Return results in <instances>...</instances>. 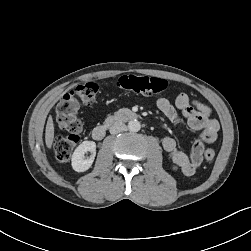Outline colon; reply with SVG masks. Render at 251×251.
I'll return each instance as SVG.
<instances>
[{"instance_id":"5ec220e1","label":"colon","mask_w":251,"mask_h":251,"mask_svg":"<svg viewBox=\"0 0 251 251\" xmlns=\"http://www.w3.org/2000/svg\"><path fill=\"white\" fill-rule=\"evenodd\" d=\"M115 85L118 89L143 95L159 94L170 88V83L164 79L135 75H124ZM98 90V85L93 82L79 84L66 92L58 102L55 109L56 122L60 129L68 133L55 139L54 154L58 162L66 163L70 160L82 131V124L78 118L79 108L94 103ZM215 156V148H207L204 151L207 161L213 160Z\"/></svg>"}]
</instances>
